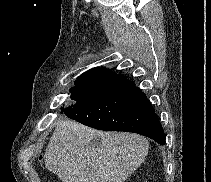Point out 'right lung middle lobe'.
<instances>
[{"label":"right lung middle lobe","instance_id":"dd1d6c3e","mask_svg":"<svg viewBox=\"0 0 211 182\" xmlns=\"http://www.w3.org/2000/svg\"><path fill=\"white\" fill-rule=\"evenodd\" d=\"M77 82V81H76ZM76 82H75V84H76ZM73 89H74V87L71 89V92L73 91Z\"/></svg>","mask_w":211,"mask_h":182}]
</instances>
